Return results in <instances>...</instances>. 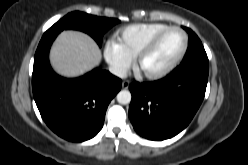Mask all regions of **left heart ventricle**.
<instances>
[{
	"label": "left heart ventricle",
	"instance_id": "b2bd125f",
	"mask_svg": "<svg viewBox=\"0 0 248 165\" xmlns=\"http://www.w3.org/2000/svg\"><path fill=\"white\" fill-rule=\"evenodd\" d=\"M183 36L179 31H170L160 38L155 47L141 60L142 72L156 71L168 64L180 51Z\"/></svg>",
	"mask_w": 248,
	"mask_h": 165
}]
</instances>
